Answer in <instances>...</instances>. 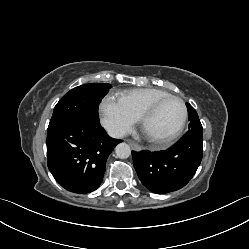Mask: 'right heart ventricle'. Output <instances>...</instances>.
I'll return each instance as SVG.
<instances>
[{"instance_id": "right-heart-ventricle-1", "label": "right heart ventricle", "mask_w": 249, "mask_h": 249, "mask_svg": "<svg viewBox=\"0 0 249 249\" xmlns=\"http://www.w3.org/2000/svg\"><path fill=\"white\" fill-rule=\"evenodd\" d=\"M168 95V92L156 88H139L121 93L119 99L139 118L149 105Z\"/></svg>"}]
</instances>
